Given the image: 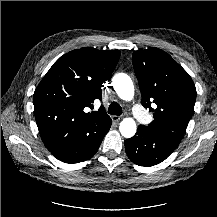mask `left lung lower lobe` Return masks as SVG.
<instances>
[{
  "label": "left lung lower lobe",
  "instance_id": "left-lung-lower-lobe-1",
  "mask_svg": "<svg viewBox=\"0 0 217 217\" xmlns=\"http://www.w3.org/2000/svg\"><path fill=\"white\" fill-rule=\"evenodd\" d=\"M178 143L140 125L136 135L125 141L129 159L139 166H152L166 159Z\"/></svg>",
  "mask_w": 217,
  "mask_h": 217
}]
</instances>
